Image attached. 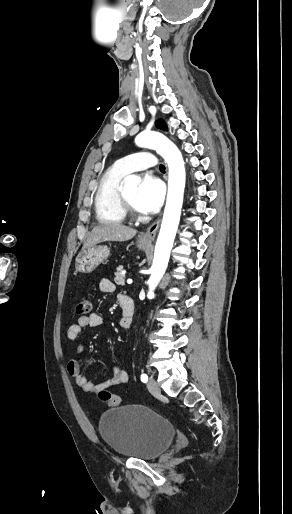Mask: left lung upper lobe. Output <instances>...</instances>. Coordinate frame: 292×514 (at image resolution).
<instances>
[{
	"instance_id": "1",
	"label": "left lung upper lobe",
	"mask_w": 292,
	"mask_h": 514,
	"mask_svg": "<svg viewBox=\"0 0 292 514\" xmlns=\"http://www.w3.org/2000/svg\"><path fill=\"white\" fill-rule=\"evenodd\" d=\"M156 126H157L158 128H160V129H163V130H166V129H167L166 124L164 123V121H163V120H158V121L156 122Z\"/></svg>"
}]
</instances>
